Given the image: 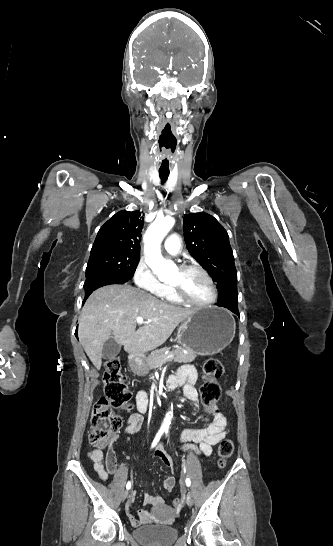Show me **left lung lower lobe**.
<instances>
[{
    "label": "left lung lower lobe",
    "instance_id": "1",
    "mask_svg": "<svg viewBox=\"0 0 333 546\" xmlns=\"http://www.w3.org/2000/svg\"><path fill=\"white\" fill-rule=\"evenodd\" d=\"M216 305L220 306V307H225V308L229 309L230 311H232L233 313H235L236 315L239 316L238 294L236 296H234L233 300L227 301V302H224V303H217Z\"/></svg>",
    "mask_w": 333,
    "mask_h": 546
}]
</instances>
